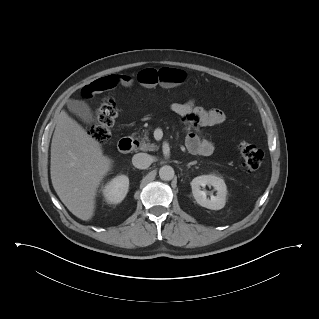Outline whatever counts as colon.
I'll return each mask as SVG.
<instances>
[{
  "mask_svg": "<svg viewBox=\"0 0 319 319\" xmlns=\"http://www.w3.org/2000/svg\"><path fill=\"white\" fill-rule=\"evenodd\" d=\"M119 110L116 103L111 98H104L96 111L91 125L90 133L99 143H106L111 134V127L114 125ZM239 150L244 158L245 165L250 171H258L264 161V153L257 146L240 141Z\"/></svg>",
  "mask_w": 319,
  "mask_h": 319,
  "instance_id": "5ec220e1",
  "label": "colon"
}]
</instances>
